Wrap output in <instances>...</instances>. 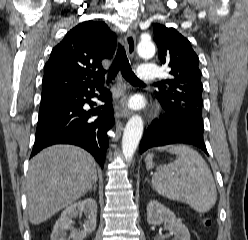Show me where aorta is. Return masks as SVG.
Returning <instances> with one entry per match:
<instances>
[{
	"label": "aorta",
	"instance_id": "1",
	"mask_svg": "<svg viewBox=\"0 0 248 240\" xmlns=\"http://www.w3.org/2000/svg\"><path fill=\"white\" fill-rule=\"evenodd\" d=\"M137 52L142 58H151L155 54V45L150 39H142L138 46ZM143 133V120L139 115L132 116L124 129L122 137V152L126 161H131L138 147Z\"/></svg>",
	"mask_w": 248,
	"mask_h": 240
}]
</instances>
